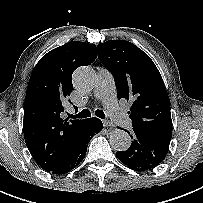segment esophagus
I'll use <instances>...</instances> for the list:
<instances>
[{
	"label": "esophagus",
	"instance_id": "1",
	"mask_svg": "<svg viewBox=\"0 0 203 203\" xmlns=\"http://www.w3.org/2000/svg\"><path fill=\"white\" fill-rule=\"evenodd\" d=\"M104 127H109L110 129L114 128V124L110 122L109 120H103Z\"/></svg>",
	"mask_w": 203,
	"mask_h": 203
}]
</instances>
